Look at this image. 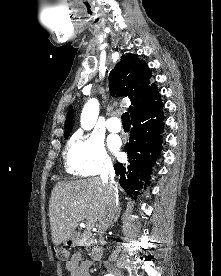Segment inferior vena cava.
Returning <instances> with one entry per match:
<instances>
[{
    "instance_id": "1",
    "label": "inferior vena cava",
    "mask_w": 221,
    "mask_h": 276,
    "mask_svg": "<svg viewBox=\"0 0 221 276\" xmlns=\"http://www.w3.org/2000/svg\"><path fill=\"white\" fill-rule=\"evenodd\" d=\"M114 168L112 164H107L105 169L101 172V180L103 184L108 186L107 200L104 212L99 219L98 235L100 243H103V235L108 227L112 224L116 218L119 210L118 205V188L114 182Z\"/></svg>"
}]
</instances>
